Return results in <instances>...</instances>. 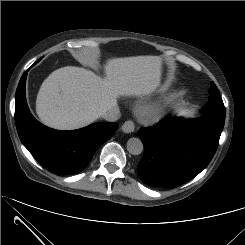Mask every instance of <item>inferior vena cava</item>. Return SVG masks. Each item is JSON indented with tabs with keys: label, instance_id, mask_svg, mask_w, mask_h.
<instances>
[{
	"label": "inferior vena cava",
	"instance_id": "inferior-vena-cava-1",
	"mask_svg": "<svg viewBox=\"0 0 245 245\" xmlns=\"http://www.w3.org/2000/svg\"><path fill=\"white\" fill-rule=\"evenodd\" d=\"M119 109L117 107L111 108L108 111H106L102 117L109 122H115L119 119L120 114H119Z\"/></svg>",
	"mask_w": 245,
	"mask_h": 245
}]
</instances>
